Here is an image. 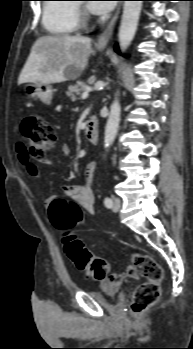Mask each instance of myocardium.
<instances>
[{"label":"myocardium","instance_id":"obj_1","mask_svg":"<svg viewBox=\"0 0 193 349\" xmlns=\"http://www.w3.org/2000/svg\"><path fill=\"white\" fill-rule=\"evenodd\" d=\"M85 22H86V12L83 10H79V23L84 24Z\"/></svg>","mask_w":193,"mask_h":349}]
</instances>
